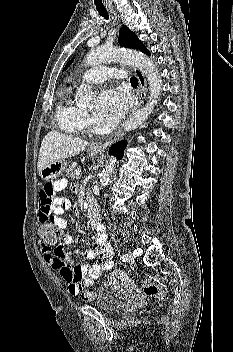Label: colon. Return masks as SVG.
<instances>
[{"label": "colon", "instance_id": "obj_1", "mask_svg": "<svg viewBox=\"0 0 233 352\" xmlns=\"http://www.w3.org/2000/svg\"><path fill=\"white\" fill-rule=\"evenodd\" d=\"M38 235L42 239V242L49 246L51 244H55L60 241L62 237V230L59 229L58 227L50 224V223H41V225L38 228ZM142 286H143V291L146 296L152 297V298H157L159 300H164L165 299V293L160 288V286L150 280V279H144L142 281ZM95 295V292L92 289H88L83 291L82 297L85 300H91Z\"/></svg>", "mask_w": 233, "mask_h": 352}]
</instances>
